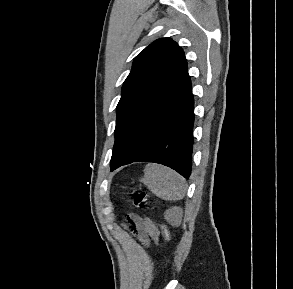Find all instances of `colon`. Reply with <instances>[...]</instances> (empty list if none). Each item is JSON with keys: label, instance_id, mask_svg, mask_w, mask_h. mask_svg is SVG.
I'll use <instances>...</instances> for the list:
<instances>
[{"label": "colon", "instance_id": "colon-1", "mask_svg": "<svg viewBox=\"0 0 293 289\" xmlns=\"http://www.w3.org/2000/svg\"><path fill=\"white\" fill-rule=\"evenodd\" d=\"M130 197L132 199V202L136 207L139 208H148L149 206V195L141 190H131L130 191ZM159 228L161 229V232L163 234L164 239L167 242L171 241V235L167 227L163 224H159Z\"/></svg>", "mask_w": 293, "mask_h": 289}]
</instances>
